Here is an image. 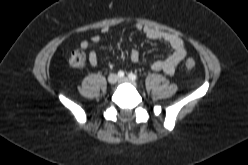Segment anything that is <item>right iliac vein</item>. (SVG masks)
I'll return each instance as SVG.
<instances>
[{"instance_id":"right-iliac-vein-1","label":"right iliac vein","mask_w":248,"mask_h":165,"mask_svg":"<svg viewBox=\"0 0 248 165\" xmlns=\"http://www.w3.org/2000/svg\"><path fill=\"white\" fill-rule=\"evenodd\" d=\"M117 80H118V76L116 75V74H110L109 76H108V82L110 83V84H115L116 82H117Z\"/></svg>"}]
</instances>
